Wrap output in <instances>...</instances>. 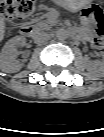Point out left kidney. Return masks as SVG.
<instances>
[{
  "label": "left kidney",
  "mask_w": 104,
  "mask_h": 137,
  "mask_svg": "<svg viewBox=\"0 0 104 137\" xmlns=\"http://www.w3.org/2000/svg\"><path fill=\"white\" fill-rule=\"evenodd\" d=\"M103 65H104L103 61H95L94 62V66L99 68L100 70H103Z\"/></svg>",
  "instance_id": "5707ae66"
}]
</instances>
